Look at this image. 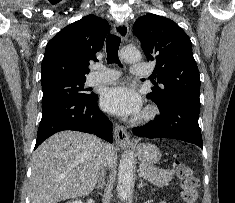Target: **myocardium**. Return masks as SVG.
Masks as SVG:
<instances>
[{"label": "myocardium", "mask_w": 235, "mask_h": 203, "mask_svg": "<svg viewBox=\"0 0 235 203\" xmlns=\"http://www.w3.org/2000/svg\"><path fill=\"white\" fill-rule=\"evenodd\" d=\"M157 114V110L154 107H149L145 110V112L142 115L143 120H150L154 118Z\"/></svg>", "instance_id": "1"}]
</instances>
